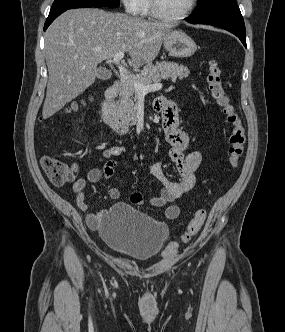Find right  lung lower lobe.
<instances>
[{
	"mask_svg": "<svg viewBox=\"0 0 285 332\" xmlns=\"http://www.w3.org/2000/svg\"><path fill=\"white\" fill-rule=\"evenodd\" d=\"M68 9H61V10H56V11H50L49 16L45 22L44 25V30H46L48 28V26L53 22V20L55 18H57L60 14H62L63 12H65Z\"/></svg>",
	"mask_w": 285,
	"mask_h": 332,
	"instance_id": "right-lung-lower-lobe-1",
	"label": "right lung lower lobe"
}]
</instances>
